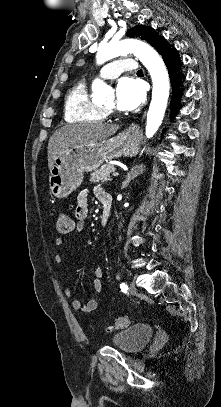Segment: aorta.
<instances>
[{
  "label": "aorta",
  "instance_id": "obj_1",
  "mask_svg": "<svg viewBox=\"0 0 221 407\" xmlns=\"http://www.w3.org/2000/svg\"><path fill=\"white\" fill-rule=\"evenodd\" d=\"M133 53L149 71L152 82V100L147 113L146 136L151 138L162 123L169 97V77L165 64L159 54L147 43L136 39H124L101 44L97 55V63L113 59L117 56ZM93 98L104 100L112 93V89L100 79L92 84Z\"/></svg>",
  "mask_w": 221,
  "mask_h": 407
}]
</instances>
